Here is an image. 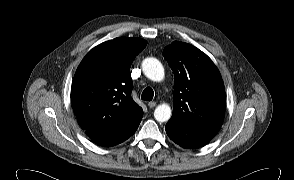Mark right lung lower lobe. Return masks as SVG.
<instances>
[{"mask_svg": "<svg viewBox=\"0 0 294 180\" xmlns=\"http://www.w3.org/2000/svg\"><path fill=\"white\" fill-rule=\"evenodd\" d=\"M143 116V111L137 114L126 126H124L119 131L104 135L91 138L96 144L101 146H114L117 145L126 139H128L134 132L137 130L141 119Z\"/></svg>", "mask_w": 294, "mask_h": 180, "instance_id": "98d812e1", "label": "right lung lower lobe"}]
</instances>
